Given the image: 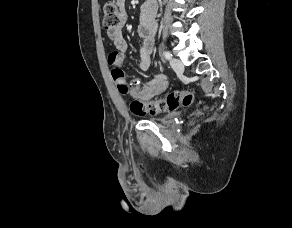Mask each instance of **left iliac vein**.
Here are the masks:
<instances>
[{
	"instance_id": "obj_1",
	"label": "left iliac vein",
	"mask_w": 292,
	"mask_h": 228,
	"mask_svg": "<svg viewBox=\"0 0 292 228\" xmlns=\"http://www.w3.org/2000/svg\"><path fill=\"white\" fill-rule=\"evenodd\" d=\"M170 64L176 73H179V74L183 73L184 66H183V63L179 59H177V58L171 59Z\"/></svg>"
}]
</instances>
